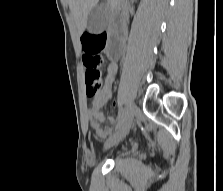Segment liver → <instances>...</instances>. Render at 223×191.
I'll return each instance as SVG.
<instances>
[{"instance_id": "6515ba94", "label": "liver", "mask_w": 223, "mask_h": 191, "mask_svg": "<svg viewBox=\"0 0 223 191\" xmlns=\"http://www.w3.org/2000/svg\"><path fill=\"white\" fill-rule=\"evenodd\" d=\"M99 0H68L71 14L75 20L79 33L86 28L89 12L97 5ZM121 0H108V7L112 11L120 10Z\"/></svg>"}]
</instances>
